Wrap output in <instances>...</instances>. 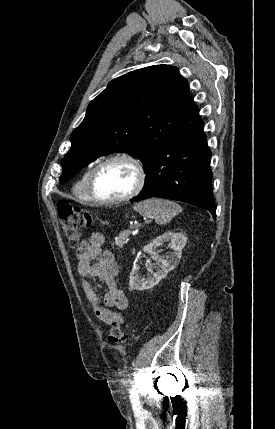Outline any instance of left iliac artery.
I'll return each mask as SVG.
<instances>
[{
	"label": "left iliac artery",
	"mask_w": 275,
	"mask_h": 429,
	"mask_svg": "<svg viewBox=\"0 0 275 429\" xmlns=\"http://www.w3.org/2000/svg\"><path fill=\"white\" fill-rule=\"evenodd\" d=\"M130 399H131L133 407L139 406V398H138L137 391L135 390V388H133L131 390Z\"/></svg>",
	"instance_id": "44dca946"
}]
</instances>
